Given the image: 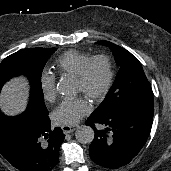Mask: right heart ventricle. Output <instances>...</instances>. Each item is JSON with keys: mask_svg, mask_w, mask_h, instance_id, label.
Listing matches in <instances>:
<instances>
[{"mask_svg": "<svg viewBox=\"0 0 171 171\" xmlns=\"http://www.w3.org/2000/svg\"><path fill=\"white\" fill-rule=\"evenodd\" d=\"M90 57L87 53L70 50L58 58L56 67L61 74L75 77Z\"/></svg>", "mask_w": 171, "mask_h": 171, "instance_id": "obj_1", "label": "right heart ventricle"}]
</instances>
